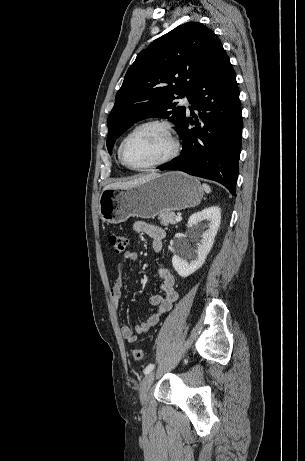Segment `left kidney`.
<instances>
[{
	"label": "left kidney",
	"instance_id": "5707ae66",
	"mask_svg": "<svg viewBox=\"0 0 305 461\" xmlns=\"http://www.w3.org/2000/svg\"><path fill=\"white\" fill-rule=\"evenodd\" d=\"M220 221L221 209L218 206L205 208L189 217L188 226L194 227L199 231L205 228H207V230L201 234L200 244L195 251H192L189 245L182 244L172 257L173 267L179 276L188 277L204 264L213 246ZM186 256L192 258L190 262L186 261Z\"/></svg>",
	"mask_w": 305,
	"mask_h": 461
}]
</instances>
